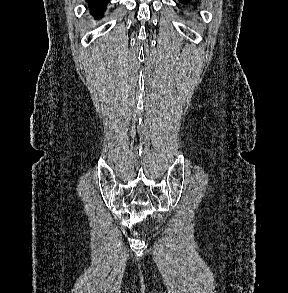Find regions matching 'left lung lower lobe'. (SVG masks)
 <instances>
[{
    "mask_svg": "<svg viewBox=\"0 0 288 293\" xmlns=\"http://www.w3.org/2000/svg\"><path fill=\"white\" fill-rule=\"evenodd\" d=\"M191 0H179V2L183 3V4H187L188 2H190Z\"/></svg>",
    "mask_w": 288,
    "mask_h": 293,
    "instance_id": "obj_1",
    "label": "left lung lower lobe"
}]
</instances>
